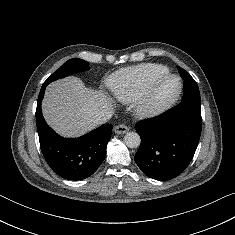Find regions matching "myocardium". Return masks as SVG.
Wrapping results in <instances>:
<instances>
[{
    "mask_svg": "<svg viewBox=\"0 0 235 235\" xmlns=\"http://www.w3.org/2000/svg\"><path fill=\"white\" fill-rule=\"evenodd\" d=\"M167 80H175L177 82V89L175 93L164 101H156L154 99V91L156 87ZM182 81L174 74L166 73L152 79L142 95L136 100L135 107L137 112L145 117L158 115L169 108H171L179 99L182 93Z\"/></svg>",
    "mask_w": 235,
    "mask_h": 235,
    "instance_id": "obj_1",
    "label": "myocardium"
}]
</instances>
